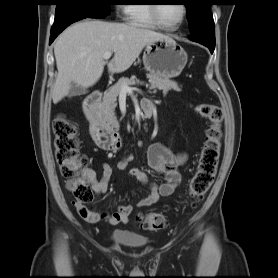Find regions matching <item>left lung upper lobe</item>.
Returning a JSON list of instances; mask_svg holds the SVG:
<instances>
[{
    "label": "left lung upper lobe",
    "mask_w": 278,
    "mask_h": 278,
    "mask_svg": "<svg viewBox=\"0 0 278 278\" xmlns=\"http://www.w3.org/2000/svg\"><path fill=\"white\" fill-rule=\"evenodd\" d=\"M213 0H186L187 18L193 37L215 44V27L210 10Z\"/></svg>",
    "instance_id": "1"
}]
</instances>
